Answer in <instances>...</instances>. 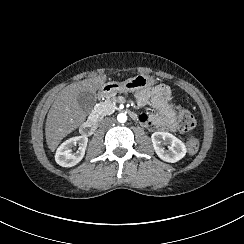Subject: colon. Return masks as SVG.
Instances as JSON below:
<instances>
[{
    "label": "colon",
    "mask_w": 244,
    "mask_h": 244,
    "mask_svg": "<svg viewBox=\"0 0 244 244\" xmlns=\"http://www.w3.org/2000/svg\"><path fill=\"white\" fill-rule=\"evenodd\" d=\"M176 116L178 119L179 131L187 136L186 139V149L190 155H194L199 151L200 141L199 139L193 135V130L196 125L195 118L193 114L187 110L182 108H178L176 112Z\"/></svg>",
    "instance_id": "colon-1"
}]
</instances>
